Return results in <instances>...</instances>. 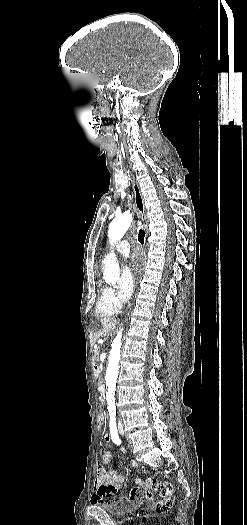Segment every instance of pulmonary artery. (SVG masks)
Returning <instances> with one entry per match:
<instances>
[{
	"instance_id": "obj_1",
	"label": "pulmonary artery",
	"mask_w": 247,
	"mask_h": 525,
	"mask_svg": "<svg viewBox=\"0 0 247 525\" xmlns=\"http://www.w3.org/2000/svg\"><path fill=\"white\" fill-rule=\"evenodd\" d=\"M128 248L129 242L127 240H122L115 246V251L118 252L121 257L126 258L131 254V251Z\"/></svg>"
}]
</instances>
